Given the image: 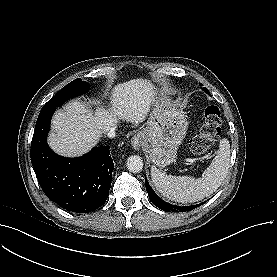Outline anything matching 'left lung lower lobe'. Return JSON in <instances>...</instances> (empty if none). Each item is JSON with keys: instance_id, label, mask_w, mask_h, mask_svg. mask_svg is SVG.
Segmentation results:
<instances>
[{"instance_id": "obj_1", "label": "left lung lower lobe", "mask_w": 277, "mask_h": 277, "mask_svg": "<svg viewBox=\"0 0 277 277\" xmlns=\"http://www.w3.org/2000/svg\"><path fill=\"white\" fill-rule=\"evenodd\" d=\"M145 184H146V191L148 193L149 199L156 207H158L159 209H162L163 211L173 212V211L179 210L180 212H186V211H191L200 205L198 204V205H192V206H174V205L168 204L167 202L163 201L155 194V192L152 190L149 183L147 182L146 178H145Z\"/></svg>"}]
</instances>
